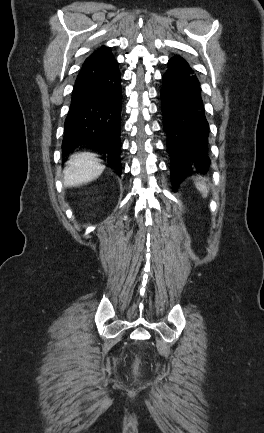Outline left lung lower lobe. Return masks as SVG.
Wrapping results in <instances>:
<instances>
[{
    "label": "left lung lower lobe",
    "mask_w": 264,
    "mask_h": 433,
    "mask_svg": "<svg viewBox=\"0 0 264 433\" xmlns=\"http://www.w3.org/2000/svg\"><path fill=\"white\" fill-rule=\"evenodd\" d=\"M162 80L164 130L175 188L188 176L208 171L209 125L199 80L186 60L178 55L170 58Z\"/></svg>",
    "instance_id": "obj_1"
}]
</instances>
